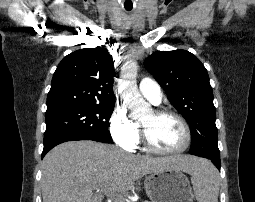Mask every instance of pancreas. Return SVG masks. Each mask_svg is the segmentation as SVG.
I'll use <instances>...</instances> for the list:
<instances>
[{
  "mask_svg": "<svg viewBox=\"0 0 255 202\" xmlns=\"http://www.w3.org/2000/svg\"><path fill=\"white\" fill-rule=\"evenodd\" d=\"M115 202H123V200L122 199H117Z\"/></svg>",
  "mask_w": 255,
  "mask_h": 202,
  "instance_id": "pancreas-1",
  "label": "pancreas"
}]
</instances>
